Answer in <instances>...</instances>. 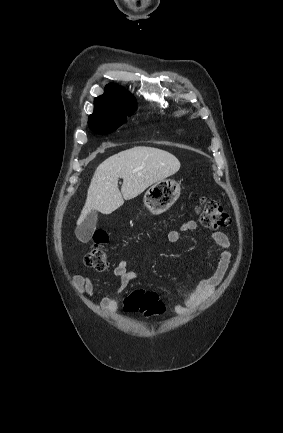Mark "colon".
<instances>
[{"instance_id":"5ec220e1","label":"colon","mask_w":283,"mask_h":433,"mask_svg":"<svg viewBox=\"0 0 283 433\" xmlns=\"http://www.w3.org/2000/svg\"><path fill=\"white\" fill-rule=\"evenodd\" d=\"M198 213L202 225L211 230H217L230 225L229 214L217 201L202 198ZM107 242V236L103 233L98 234L94 239V244L84 255V263L87 267L96 271L103 272L109 268V261L103 244ZM124 309L127 312H138L145 316H157L164 312V304L158 295L152 291L136 290L124 299Z\"/></svg>"}]
</instances>
